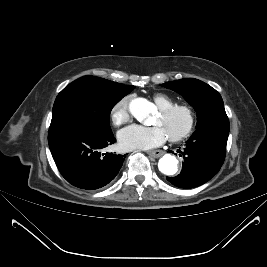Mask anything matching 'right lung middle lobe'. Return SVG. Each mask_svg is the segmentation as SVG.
<instances>
[{
    "mask_svg": "<svg viewBox=\"0 0 267 267\" xmlns=\"http://www.w3.org/2000/svg\"><path fill=\"white\" fill-rule=\"evenodd\" d=\"M134 88L95 76L73 81L55 100L49 132L69 126L112 132L110 112Z\"/></svg>",
    "mask_w": 267,
    "mask_h": 267,
    "instance_id": "1",
    "label": "right lung middle lobe"
}]
</instances>
